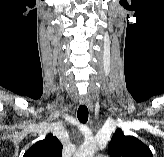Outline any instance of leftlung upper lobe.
<instances>
[{
  "instance_id": "left-lung-upper-lobe-1",
  "label": "left lung upper lobe",
  "mask_w": 164,
  "mask_h": 157,
  "mask_svg": "<svg viewBox=\"0 0 164 157\" xmlns=\"http://www.w3.org/2000/svg\"><path fill=\"white\" fill-rule=\"evenodd\" d=\"M110 157H153L151 150L139 139L125 136L117 129L109 143Z\"/></svg>"
}]
</instances>
